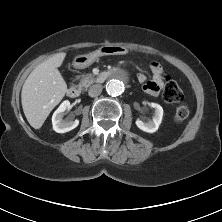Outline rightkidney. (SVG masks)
<instances>
[{
	"label": "right kidney",
	"mask_w": 222,
	"mask_h": 222,
	"mask_svg": "<svg viewBox=\"0 0 222 222\" xmlns=\"http://www.w3.org/2000/svg\"><path fill=\"white\" fill-rule=\"evenodd\" d=\"M70 108L68 100L63 101L52 116L53 130L57 133H65L73 130L79 125V120L67 118L63 120L64 112Z\"/></svg>",
	"instance_id": "right-kidney-1"
}]
</instances>
